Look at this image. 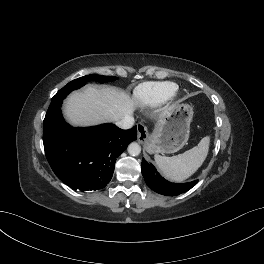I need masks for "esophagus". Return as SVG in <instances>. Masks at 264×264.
<instances>
[{"instance_id": "34e87169", "label": "esophagus", "mask_w": 264, "mask_h": 264, "mask_svg": "<svg viewBox=\"0 0 264 264\" xmlns=\"http://www.w3.org/2000/svg\"><path fill=\"white\" fill-rule=\"evenodd\" d=\"M137 138L140 143H144L148 138L147 127L143 123L137 125Z\"/></svg>"}]
</instances>
